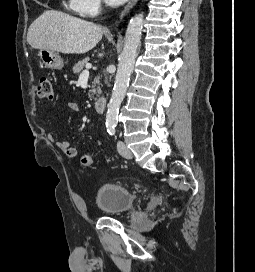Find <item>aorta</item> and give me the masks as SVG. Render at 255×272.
<instances>
[{"label": "aorta", "mask_w": 255, "mask_h": 272, "mask_svg": "<svg viewBox=\"0 0 255 272\" xmlns=\"http://www.w3.org/2000/svg\"><path fill=\"white\" fill-rule=\"evenodd\" d=\"M143 24V14L135 15L129 21L124 38V48L119 56L115 84L106 113L107 128H114L118 123L119 108L125 97L130 76L133 72L137 51L141 41Z\"/></svg>", "instance_id": "1"}]
</instances>
